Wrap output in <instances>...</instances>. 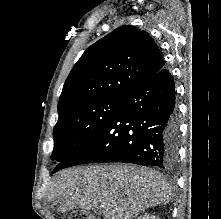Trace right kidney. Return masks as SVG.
<instances>
[{
  "label": "right kidney",
  "mask_w": 221,
  "mask_h": 219,
  "mask_svg": "<svg viewBox=\"0 0 221 219\" xmlns=\"http://www.w3.org/2000/svg\"><path fill=\"white\" fill-rule=\"evenodd\" d=\"M137 219H160L159 217L150 215L148 213H145V215L138 217Z\"/></svg>",
  "instance_id": "right-kidney-1"
}]
</instances>
